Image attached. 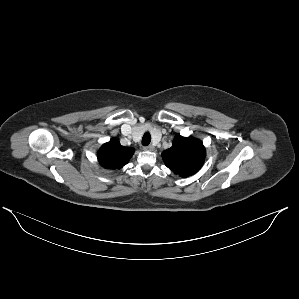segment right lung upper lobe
Masks as SVG:
<instances>
[{"mask_svg":"<svg viewBox=\"0 0 299 299\" xmlns=\"http://www.w3.org/2000/svg\"><path fill=\"white\" fill-rule=\"evenodd\" d=\"M134 148L124 147L117 138H112L98 150L99 163L107 169H119L129 162Z\"/></svg>","mask_w":299,"mask_h":299,"instance_id":"cb5924a9","label":"right lung upper lobe"}]
</instances>
